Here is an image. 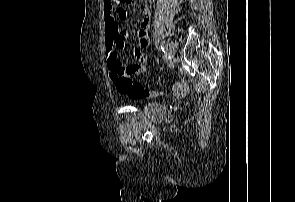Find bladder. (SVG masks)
<instances>
[{"mask_svg": "<svg viewBox=\"0 0 295 202\" xmlns=\"http://www.w3.org/2000/svg\"><path fill=\"white\" fill-rule=\"evenodd\" d=\"M143 113L148 119L153 121H161L167 115L164 105L157 101H150L146 103L143 107Z\"/></svg>", "mask_w": 295, "mask_h": 202, "instance_id": "obj_1", "label": "bladder"}]
</instances>
